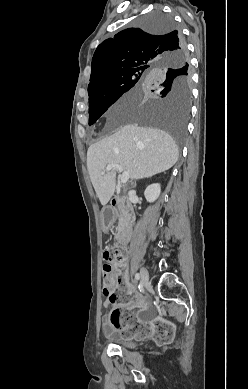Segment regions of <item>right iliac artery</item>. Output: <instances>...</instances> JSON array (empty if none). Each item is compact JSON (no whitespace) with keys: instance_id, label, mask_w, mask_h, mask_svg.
I'll return each mask as SVG.
<instances>
[{"instance_id":"1","label":"right iliac artery","mask_w":248,"mask_h":389,"mask_svg":"<svg viewBox=\"0 0 248 389\" xmlns=\"http://www.w3.org/2000/svg\"><path fill=\"white\" fill-rule=\"evenodd\" d=\"M135 279H136L137 281L140 279V274H139V273H137V274L135 275Z\"/></svg>"}]
</instances>
